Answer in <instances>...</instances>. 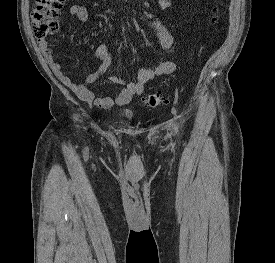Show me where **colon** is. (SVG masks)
Masks as SVG:
<instances>
[{
  "mask_svg": "<svg viewBox=\"0 0 275 263\" xmlns=\"http://www.w3.org/2000/svg\"><path fill=\"white\" fill-rule=\"evenodd\" d=\"M65 0H34L31 21L32 32L38 42L44 41L58 29L57 15L62 9ZM212 20H218V9H212ZM143 102L149 107H158L168 103V97L162 92L147 94Z\"/></svg>",
  "mask_w": 275,
  "mask_h": 263,
  "instance_id": "obj_1",
  "label": "colon"
}]
</instances>
